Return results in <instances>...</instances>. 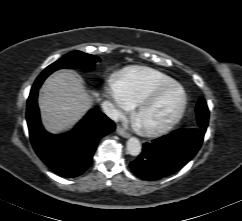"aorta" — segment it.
Here are the masks:
<instances>
[{"mask_svg":"<svg viewBox=\"0 0 242 221\" xmlns=\"http://www.w3.org/2000/svg\"><path fill=\"white\" fill-rule=\"evenodd\" d=\"M141 143L137 138H130L127 141V151L132 156H138L141 153Z\"/></svg>","mask_w":242,"mask_h":221,"instance_id":"762f6f07","label":"aorta"}]
</instances>
